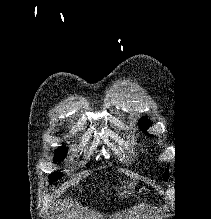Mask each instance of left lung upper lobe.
I'll use <instances>...</instances> for the list:
<instances>
[{
    "mask_svg": "<svg viewBox=\"0 0 211 219\" xmlns=\"http://www.w3.org/2000/svg\"><path fill=\"white\" fill-rule=\"evenodd\" d=\"M139 125H140L141 129L143 131H145L147 128H149L150 122L147 118H142L139 121ZM167 179H168V172L166 171V173L164 174V180H167Z\"/></svg>",
    "mask_w": 211,
    "mask_h": 219,
    "instance_id": "1",
    "label": "left lung upper lobe"
}]
</instances>
